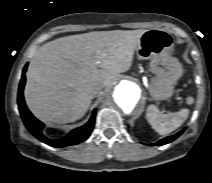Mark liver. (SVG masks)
Here are the masks:
<instances>
[{
    "instance_id": "1",
    "label": "liver",
    "mask_w": 212,
    "mask_h": 183,
    "mask_svg": "<svg viewBox=\"0 0 212 183\" xmlns=\"http://www.w3.org/2000/svg\"><path fill=\"white\" fill-rule=\"evenodd\" d=\"M146 30L89 32L43 44L31 60L25 101L40 120L59 124L82 118L96 95L128 71Z\"/></svg>"
}]
</instances>
